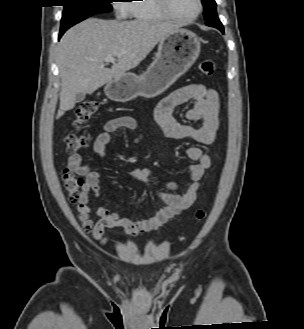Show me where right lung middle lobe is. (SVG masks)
Returning <instances> with one entry per match:
<instances>
[{
	"label": "right lung middle lobe",
	"mask_w": 304,
	"mask_h": 329,
	"mask_svg": "<svg viewBox=\"0 0 304 329\" xmlns=\"http://www.w3.org/2000/svg\"><path fill=\"white\" fill-rule=\"evenodd\" d=\"M64 10L61 18L60 31H66L71 26L84 19L112 11V0H63Z\"/></svg>",
	"instance_id": "dd1d6c3e"
}]
</instances>
